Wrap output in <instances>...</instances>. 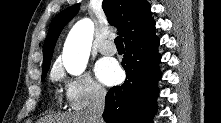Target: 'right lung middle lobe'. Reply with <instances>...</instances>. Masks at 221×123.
<instances>
[{"instance_id": "right-lung-middle-lobe-1", "label": "right lung middle lobe", "mask_w": 221, "mask_h": 123, "mask_svg": "<svg viewBox=\"0 0 221 123\" xmlns=\"http://www.w3.org/2000/svg\"><path fill=\"white\" fill-rule=\"evenodd\" d=\"M49 67H50V64H48L47 66L43 67V74H42V77H41L42 81H44V79L46 77V74H47V72L49 70Z\"/></svg>"}]
</instances>
